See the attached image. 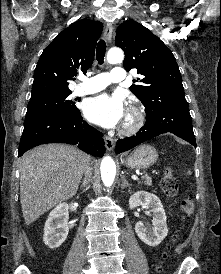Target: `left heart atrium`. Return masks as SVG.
Returning a JSON list of instances; mask_svg holds the SVG:
<instances>
[{"label": "left heart atrium", "instance_id": "obj_1", "mask_svg": "<svg viewBox=\"0 0 221 274\" xmlns=\"http://www.w3.org/2000/svg\"><path fill=\"white\" fill-rule=\"evenodd\" d=\"M83 113L92 123L105 128L115 127L125 116L123 98L118 94H99L85 101Z\"/></svg>", "mask_w": 221, "mask_h": 274}]
</instances>
